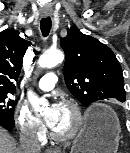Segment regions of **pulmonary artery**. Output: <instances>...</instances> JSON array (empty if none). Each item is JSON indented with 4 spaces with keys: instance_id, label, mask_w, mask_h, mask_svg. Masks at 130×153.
I'll return each instance as SVG.
<instances>
[{
    "instance_id": "1",
    "label": "pulmonary artery",
    "mask_w": 130,
    "mask_h": 153,
    "mask_svg": "<svg viewBox=\"0 0 130 153\" xmlns=\"http://www.w3.org/2000/svg\"><path fill=\"white\" fill-rule=\"evenodd\" d=\"M56 82V75L54 73H47L38 82V88L42 91H49L54 88Z\"/></svg>"
}]
</instances>
